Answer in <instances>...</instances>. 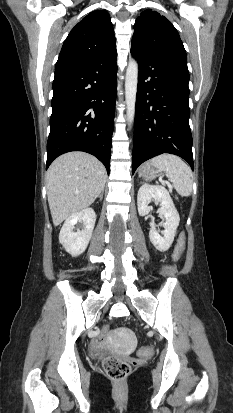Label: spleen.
Instances as JSON below:
<instances>
[{
    "mask_svg": "<svg viewBox=\"0 0 233 413\" xmlns=\"http://www.w3.org/2000/svg\"><path fill=\"white\" fill-rule=\"evenodd\" d=\"M150 164L165 172L180 196L187 197L191 195L193 186L192 171L180 158L163 154L153 158Z\"/></svg>",
    "mask_w": 233,
    "mask_h": 413,
    "instance_id": "obj_1",
    "label": "spleen"
}]
</instances>
